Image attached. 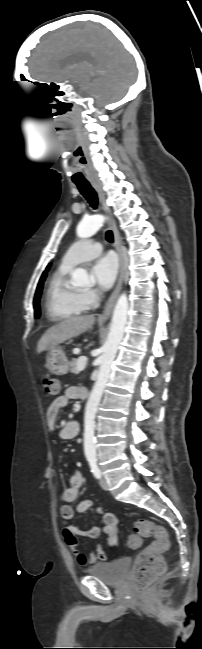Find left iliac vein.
<instances>
[{"mask_svg": "<svg viewBox=\"0 0 202 649\" xmlns=\"http://www.w3.org/2000/svg\"><path fill=\"white\" fill-rule=\"evenodd\" d=\"M99 484H100V486H101V488L103 490L107 491L109 489V486H108V483H107L106 479L101 478L100 481H99Z\"/></svg>", "mask_w": 202, "mask_h": 649, "instance_id": "obj_1", "label": "left iliac vein"}]
</instances>
